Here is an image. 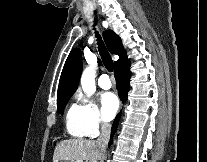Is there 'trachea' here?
<instances>
[{"label": "trachea", "mask_w": 207, "mask_h": 162, "mask_svg": "<svg viewBox=\"0 0 207 162\" xmlns=\"http://www.w3.org/2000/svg\"><path fill=\"white\" fill-rule=\"evenodd\" d=\"M96 37H97V40L99 41L98 42V49H99L102 61L105 65L106 69L108 71L112 72L113 71L112 58H111L108 50L106 49V47H105V45H104L103 41L101 40V37L98 33L96 34Z\"/></svg>", "instance_id": "1"}]
</instances>
